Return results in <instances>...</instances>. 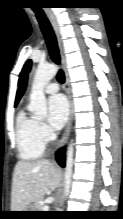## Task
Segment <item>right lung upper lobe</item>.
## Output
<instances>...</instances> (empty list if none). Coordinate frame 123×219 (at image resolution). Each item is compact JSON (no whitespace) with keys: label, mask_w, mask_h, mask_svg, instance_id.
Segmentation results:
<instances>
[{"label":"right lung upper lobe","mask_w":123,"mask_h":219,"mask_svg":"<svg viewBox=\"0 0 123 219\" xmlns=\"http://www.w3.org/2000/svg\"><path fill=\"white\" fill-rule=\"evenodd\" d=\"M26 82L27 80L25 79L22 83V85L19 87L18 91H17V94H16V100H15V106L18 104L20 98L22 97L24 91H25V88H26Z\"/></svg>","instance_id":"right-lung-upper-lobe-1"}]
</instances>
